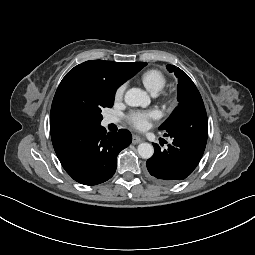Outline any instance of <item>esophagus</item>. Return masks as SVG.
Masks as SVG:
<instances>
[{"label":"esophagus","mask_w":255,"mask_h":255,"mask_svg":"<svg viewBox=\"0 0 255 255\" xmlns=\"http://www.w3.org/2000/svg\"><path fill=\"white\" fill-rule=\"evenodd\" d=\"M140 142H142V139L139 136H137V135H133L132 143L133 144H138Z\"/></svg>","instance_id":"1"}]
</instances>
